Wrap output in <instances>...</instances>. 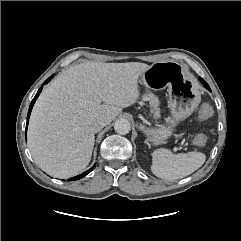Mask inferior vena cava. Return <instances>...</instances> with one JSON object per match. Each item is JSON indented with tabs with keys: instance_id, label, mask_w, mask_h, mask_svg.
<instances>
[{
	"instance_id": "1",
	"label": "inferior vena cava",
	"mask_w": 241,
	"mask_h": 241,
	"mask_svg": "<svg viewBox=\"0 0 241 241\" xmlns=\"http://www.w3.org/2000/svg\"><path fill=\"white\" fill-rule=\"evenodd\" d=\"M106 125H107L106 118H99L92 123V130L94 132H99Z\"/></svg>"
}]
</instances>
